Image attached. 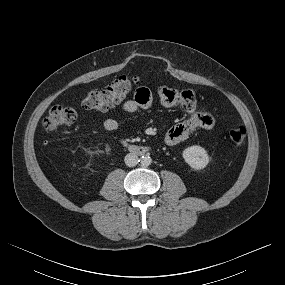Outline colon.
<instances>
[{
	"instance_id": "1",
	"label": "colon",
	"mask_w": 285,
	"mask_h": 285,
	"mask_svg": "<svg viewBox=\"0 0 285 285\" xmlns=\"http://www.w3.org/2000/svg\"><path fill=\"white\" fill-rule=\"evenodd\" d=\"M138 79L132 76H120L110 82L104 89L90 91L82 101V106L89 110L104 111L124 100L137 84ZM75 109L64 106L52 107L42 121L47 132H54L60 127L70 125L76 121ZM246 130L243 126H236L229 131L232 142L240 144L245 140Z\"/></svg>"
}]
</instances>
